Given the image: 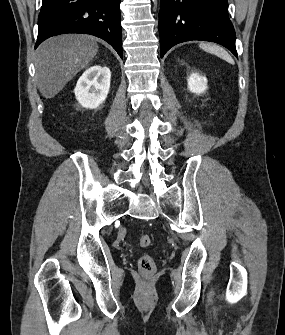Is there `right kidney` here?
<instances>
[{"instance_id":"1","label":"right kidney","mask_w":285,"mask_h":335,"mask_svg":"<svg viewBox=\"0 0 285 335\" xmlns=\"http://www.w3.org/2000/svg\"><path fill=\"white\" fill-rule=\"evenodd\" d=\"M111 72L109 68L91 66L79 78L74 94L82 108H98L105 102L110 88Z\"/></svg>"}]
</instances>
